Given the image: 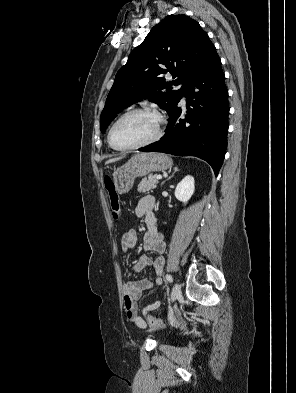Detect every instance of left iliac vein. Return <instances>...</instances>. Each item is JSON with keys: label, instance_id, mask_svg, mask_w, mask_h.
Masks as SVG:
<instances>
[{"label": "left iliac vein", "instance_id": "obj_1", "mask_svg": "<svg viewBox=\"0 0 296 393\" xmlns=\"http://www.w3.org/2000/svg\"><path fill=\"white\" fill-rule=\"evenodd\" d=\"M181 296V287L178 283H175L171 292V301L177 300Z\"/></svg>", "mask_w": 296, "mask_h": 393}]
</instances>
